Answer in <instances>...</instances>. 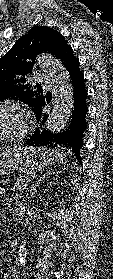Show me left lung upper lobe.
Returning <instances> with one entry per match:
<instances>
[{"mask_svg":"<svg viewBox=\"0 0 113 279\" xmlns=\"http://www.w3.org/2000/svg\"><path fill=\"white\" fill-rule=\"evenodd\" d=\"M70 50L65 38L54 29L33 27L0 58V100L15 98L33 110L44 97L39 84L36 85L37 91H33L27 82V77L35 69L36 55L49 53L62 61Z\"/></svg>","mask_w":113,"mask_h":279,"instance_id":"5c2ea615","label":"left lung upper lobe"}]
</instances>
